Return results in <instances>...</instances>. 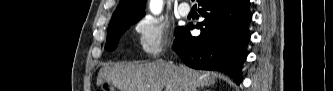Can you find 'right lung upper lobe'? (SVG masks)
Returning a JSON list of instances; mask_svg holds the SVG:
<instances>
[{
	"label": "right lung upper lobe",
	"instance_id": "1",
	"mask_svg": "<svg viewBox=\"0 0 333 91\" xmlns=\"http://www.w3.org/2000/svg\"><path fill=\"white\" fill-rule=\"evenodd\" d=\"M145 3L146 0H121L110 22L143 16Z\"/></svg>",
	"mask_w": 333,
	"mask_h": 91
}]
</instances>
